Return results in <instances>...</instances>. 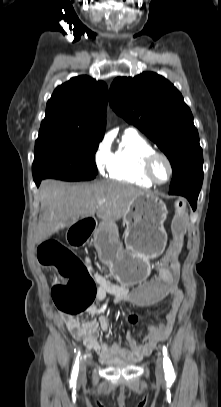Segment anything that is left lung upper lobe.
<instances>
[{"instance_id": "left-lung-upper-lobe-1", "label": "left lung upper lobe", "mask_w": 221, "mask_h": 407, "mask_svg": "<svg viewBox=\"0 0 221 407\" xmlns=\"http://www.w3.org/2000/svg\"><path fill=\"white\" fill-rule=\"evenodd\" d=\"M109 102L128 123L138 127L168 157L173 177L170 188L203 171V154L193 116L181 93L164 77L144 72L118 77Z\"/></svg>"}]
</instances>
